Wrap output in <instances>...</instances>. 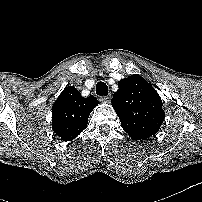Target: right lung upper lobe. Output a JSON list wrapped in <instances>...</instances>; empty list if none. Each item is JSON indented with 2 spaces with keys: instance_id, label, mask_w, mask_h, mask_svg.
Listing matches in <instances>:
<instances>
[{
  "instance_id": "right-lung-upper-lobe-1",
  "label": "right lung upper lobe",
  "mask_w": 202,
  "mask_h": 202,
  "mask_svg": "<svg viewBox=\"0 0 202 202\" xmlns=\"http://www.w3.org/2000/svg\"><path fill=\"white\" fill-rule=\"evenodd\" d=\"M98 100L81 96L75 87H65L52 107V129L63 141L77 137L86 127L91 111Z\"/></svg>"
}]
</instances>
